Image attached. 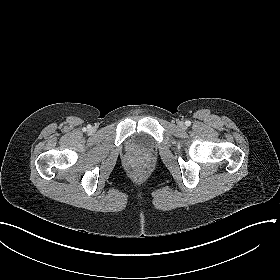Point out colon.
I'll use <instances>...</instances> for the list:
<instances>
[{"label":"colon","instance_id":"obj_1","mask_svg":"<svg viewBox=\"0 0 280 280\" xmlns=\"http://www.w3.org/2000/svg\"><path fill=\"white\" fill-rule=\"evenodd\" d=\"M134 175H135L136 177H140V176H141V171L138 170V169L135 170Z\"/></svg>","mask_w":280,"mask_h":280}]
</instances>
